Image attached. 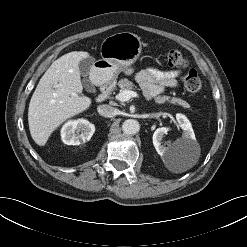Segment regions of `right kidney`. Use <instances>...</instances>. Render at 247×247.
Returning a JSON list of instances; mask_svg holds the SVG:
<instances>
[{
    "label": "right kidney",
    "instance_id": "right-kidney-1",
    "mask_svg": "<svg viewBox=\"0 0 247 247\" xmlns=\"http://www.w3.org/2000/svg\"><path fill=\"white\" fill-rule=\"evenodd\" d=\"M95 126L85 119L69 120L61 128V139L67 145H79L89 141Z\"/></svg>",
    "mask_w": 247,
    "mask_h": 247
}]
</instances>
